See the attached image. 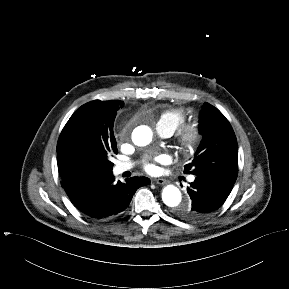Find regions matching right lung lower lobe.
<instances>
[{
    "mask_svg": "<svg viewBox=\"0 0 289 289\" xmlns=\"http://www.w3.org/2000/svg\"><path fill=\"white\" fill-rule=\"evenodd\" d=\"M147 177H132L125 183L115 182L113 175L86 184L73 204L92 219L104 220L123 212L138 188L148 185Z\"/></svg>",
    "mask_w": 289,
    "mask_h": 289,
    "instance_id": "1",
    "label": "right lung lower lobe"
}]
</instances>
